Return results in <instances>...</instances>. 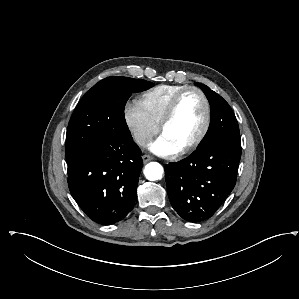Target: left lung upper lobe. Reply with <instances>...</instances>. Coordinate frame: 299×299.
Wrapping results in <instances>:
<instances>
[{
	"instance_id": "left-lung-upper-lobe-1",
	"label": "left lung upper lobe",
	"mask_w": 299,
	"mask_h": 299,
	"mask_svg": "<svg viewBox=\"0 0 299 299\" xmlns=\"http://www.w3.org/2000/svg\"><path fill=\"white\" fill-rule=\"evenodd\" d=\"M205 93L211 106L209 129L197 148L215 142H230L241 145L239 126L229 104L208 86L195 83Z\"/></svg>"
}]
</instances>
